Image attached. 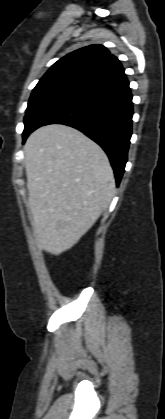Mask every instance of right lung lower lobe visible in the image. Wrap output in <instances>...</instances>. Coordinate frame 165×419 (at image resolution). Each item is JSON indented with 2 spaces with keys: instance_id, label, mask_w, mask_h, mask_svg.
Returning a JSON list of instances; mask_svg holds the SVG:
<instances>
[{
  "instance_id": "obj_1",
  "label": "right lung lower lobe",
  "mask_w": 165,
  "mask_h": 419,
  "mask_svg": "<svg viewBox=\"0 0 165 419\" xmlns=\"http://www.w3.org/2000/svg\"><path fill=\"white\" fill-rule=\"evenodd\" d=\"M132 116V95L125 77L55 109L32 131L47 124H64L80 130L107 153L119 185L127 162Z\"/></svg>"
}]
</instances>
